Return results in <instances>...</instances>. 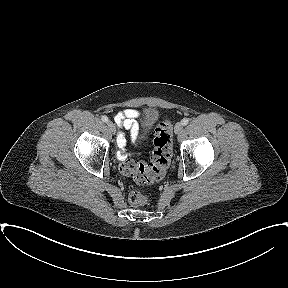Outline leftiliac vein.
<instances>
[{"label": "left iliac vein", "instance_id": "obj_1", "mask_svg": "<svg viewBox=\"0 0 288 288\" xmlns=\"http://www.w3.org/2000/svg\"><path fill=\"white\" fill-rule=\"evenodd\" d=\"M183 129V124L178 122L175 127H174V131L176 134H179Z\"/></svg>", "mask_w": 288, "mask_h": 288}]
</instances>
